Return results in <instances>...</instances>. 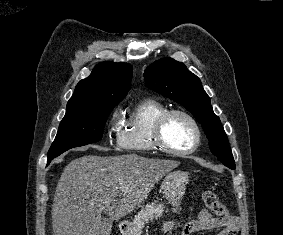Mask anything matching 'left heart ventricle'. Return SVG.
<instances>
[{"label": "left heart ventricle", "instance_id": "1", "mask_svg": "<svg viewBox=\"0 0 283 235\" xmlns=\"http://www.w3.org/2000/svg\"><path fill=\"white\" fill-rule=\"evenodd\" d=\"M163 136L170 148L186 150L194 144L196 133L192 124L185 117L175 115L165 124Z\"/></svg>", "mask_w": 283, "mask_h": 235}]
</instances>
